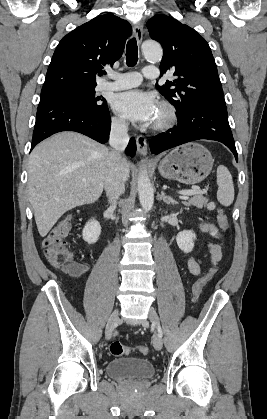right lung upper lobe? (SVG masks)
Wrapping results in <instances>:
<instances>
[{
    "mask_svg": "<svg viewBox=\"0 0 267 419\" xmlns=\"http://www.w3.org/2000/svg\"><path fill=\"white\" fill-rule=\"evenodd\" d=\"M131 33L129 22L113 14L97 16L71 31L56 47L41 94L66 86L96 87V75L121 57Z\"/></svg>",
    "mask_w": 267,
    "mask_h": 419,
    "instance_id": "cb5924a9",
    "label": "right lung upper lobe"
}]
</instances>
